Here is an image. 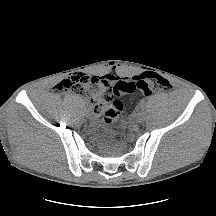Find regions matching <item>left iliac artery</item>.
<instances>
[{
  "instance_id": "obj_1",
  "label": "left iliac artery",
  "mask_w": 216,
  "mask_h": 216,
  "mask_svg": "<svg viewBox=\"0 0 216 216\" xmlns=\"http://www.w3.org/2000/svg\"><path fill=\"white\" fill-rule=\"evenodd\" d=\"M140 106H141V108L144 107V106H145V102L142 101V102L140 103Z\"/></svg>"
}]
</instances>
